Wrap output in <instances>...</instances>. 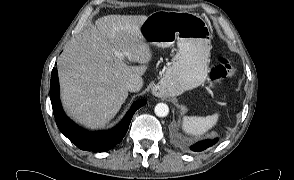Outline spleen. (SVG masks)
<instances>
[{
    "label": "spleen",
    "mask_w": 294,
    "mask_h": 180,
    "mask_svg": "<svg viewBox=\"0 0 294 180\" xmlns=\"http://www.w3.org/2000/svg\"><path fill=\"white\" fill-rule=\"evenodd\" d=\"M218 118V113L208 115L206 117H184L182 120V129L186 134L200 137L216 125Z\"/></svg>",
    "instance_id": "1"
}]
</instances>
